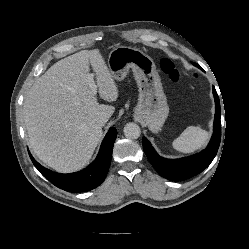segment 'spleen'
Segmentation results:
<instances>
[{"label": "spleen", "mask_w": 249, "mask_h": 249, "mask_svg": "<svg viewBox=\"0 0 249 249\" xmlns=\"http://www.w3.org/2000/svg\"><path fill=\"white\" fill-rule=\"evenodd\" d=\"M208 133L199 126L187 127L181 135L176 138L173 148L182 153H192L205 145Z\"/></svg>", "instance_id": "1"}]
</instances>
